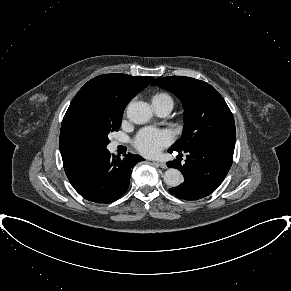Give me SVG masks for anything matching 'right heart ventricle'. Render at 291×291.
Instances as JSON below:
<instances>
[{
	"label": "right heart ventricle",
	"mask_w": 291,
	"mask_h": 291,
	"mask_svg": "<svg viewBox=\"0 0 291 291\" xmlns=\"http://www.w3.org/2000/svg\"><path fill=\"white\" fill-rule=\"evenodd\" d=\"M165 102L173 105V100L170 97V95H168L167 93H163V92L156 93L152 97L153 104H161V103H165Z\"/></svg>",
	"instance_id": "obj_1"
}]
</instances>
